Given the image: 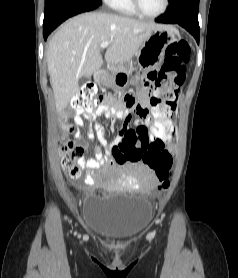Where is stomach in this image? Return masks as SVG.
<instances>
[{
  "label": "stomach",
  "mask_w": 238,
  "mask_h": 278,
  "mask_svg": "<svg viewBox=\"0 0 238 278\" xmlns=\"http://www.w3.org/2000/svg\"><path fill=\"white\" fill-rule=\"evenodd\" d=\"M178 35V30L171 25H161L148 32L137 53L140 70L146 71L148 67H158L164 59L166 48L177 41ZM131 79H133V69H119V74L116 75L106 71L96 75V82L105 87L125 86L129 89ZM140 80L141 77H136L134 82L139 83Z\"/></svg>",
  "instance_id": "obj_1"
}]
</instances>
